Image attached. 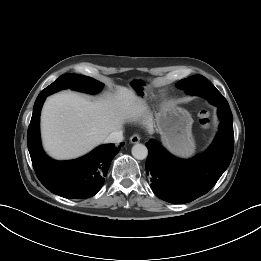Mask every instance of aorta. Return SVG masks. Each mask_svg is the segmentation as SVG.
Here are the masks:
<instances>
[{
  "label": "aorta",
  "mask_w": 261,
  "mask_h": 261,
  "mask_svg": "<svg viewBox=\"0 0 261 261\" xmlns=\"http://www.w3.org/2000/svg\"><path fill=\"white\" fill-rule=\"evenodd\" d=\"M132 155L135 159L144 160L148 156V149L145 145L137 143L132 147Z\"/></svg>",
  "instance_id": "762f6f07"
}]
</instances>
